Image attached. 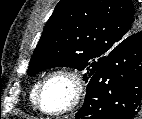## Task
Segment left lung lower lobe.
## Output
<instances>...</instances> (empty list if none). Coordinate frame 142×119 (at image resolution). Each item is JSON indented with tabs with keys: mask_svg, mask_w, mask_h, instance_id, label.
Wrapping results in <instances>:
<instances>
[{
	"mask_svg": "<svg viewBox=\"0 0 142 119\" xmlns=\"http://www.w3.org/2000/svg\"><path fill=\"white\" fill-rule=\"evenodd\" d=\"M77 119H141L142 30L115 46L87 85Z\"/></svg>",
	"mask_w": 142,
	"mask_h": 119,
	"instance_id": "1",
	"label": "left lung lower lobe"
}]
</instances>
